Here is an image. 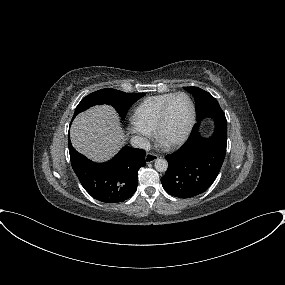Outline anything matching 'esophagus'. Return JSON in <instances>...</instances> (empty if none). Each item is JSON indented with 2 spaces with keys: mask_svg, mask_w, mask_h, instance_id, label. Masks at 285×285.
<instances>
[{
  "mask_svg": "<svg viewBox=\"0 0 285 285\" xmlns=\"http://www.w3.org/2000/svg\"><path fill=\"white\" fill-rule=\"evenodd\" d=\"M158 159V155L154 153H146L145 161L146 163H152Z\"/></svg>",
  "mask_w": 285,
  "mask_h": 285,
  "instance_id": "esophagus-1",
  "label": "esophagus"
}]
</instances>
